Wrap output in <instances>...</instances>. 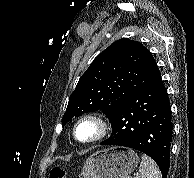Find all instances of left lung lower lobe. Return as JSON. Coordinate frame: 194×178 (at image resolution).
Returning a JSON list of instances; mask_svg holds the SVG:
<instances>
[{"label":"left lung lower lobe","mask_w":194,"mask_h":178,"mask_svg":"<svg viewBox=\"0 0 194 178\" xmlns=\"http://www.w3.org/2000/svg\"><path fill=\"white\" fill-rule=\"evenodd\" d=\"M113 127L101 145L125 146L150 156L167 178L172 141L171 107L161 76L126 98L109 117Z\"/></svg>","instance_id":"0a47b994"}]
</instances>
